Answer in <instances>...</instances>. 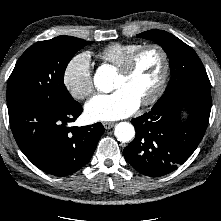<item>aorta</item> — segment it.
Masks as SVG:
<instances>
[{
    "label": "aorta",
    "instance_id": "762f6f07",
    "mask_svg": "<svg viewBox=\"0 0 221 221\" xmlns=\"http://www.w3.org/2000/svg\"><path fill=\"white\" fill-rule=\"evenodd\" d=\"M113 75L104 68H99L94 76L95 86L102 92H110L113 89ZM114 134L121 142H128L135 136L134 126L128 122H120L115 126Z\"/></svg>",
    "mask_w": 221,
    "mask_h": 221
}]
</instances>
